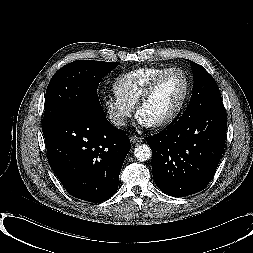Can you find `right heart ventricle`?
<instances>
[{"label":"right heart ventricle","instance_id":"right-heart-ventricle-1","mask_svg":"<svg viewBox=\"0 0 253 253\" xmlns=\"http://www.w3.org/2000/svg\"><path fill=\"white\" fill-rule=\"evenodd\" d=\"M168 67H142L121 74L113 85L114 92L121 99L135 106L149 83Z\"/></svg>","mask_w":253,"mask_h":253}]
</instances>
